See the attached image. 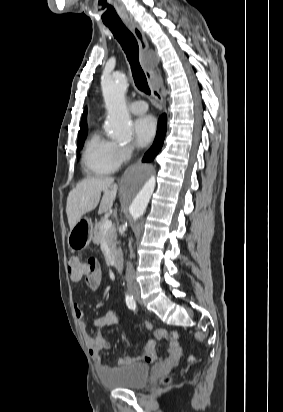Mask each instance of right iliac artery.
<instances>
[{"label":"right iliac artery","mask_w":283,"mask_h":412,"mask_svg":"<svg viewBox=\"0 0 283 412\" xmlns=\"http://www.w3.org/2000/svg\"><path fill=\"white\" fill-rule=\"evenodd\" d=\"M125 301H126V305L128 306L129 309H131L133 311L136 310V307H137L136 306V301L133 298V296H130V295L126 294Z\"/></svg>","instance_id":"82829eb1"}]
</instances>
